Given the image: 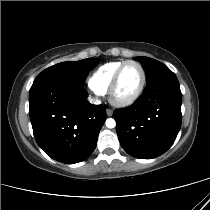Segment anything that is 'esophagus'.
<instances>
[{
  "mask_svg": "<svg viewBox=\"0 0 210 210\" xmlns=\"http://www.w3.org/2000/svg\"><path fill=\"white\" fill-rule=\"evenodd\" d=\"M106 114L111 117L113 115V111L111 109H106Z\"/></svg>",
  "mask_w": 210,
  "mask_h": 210,
  "instance_id": "34e87169",
  "label": "esophagus"
}]
</instances>
